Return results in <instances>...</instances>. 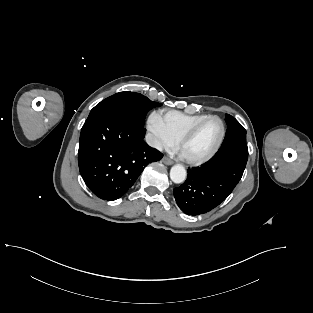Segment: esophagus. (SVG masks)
<instances>
[{"mask_svg":"<svg viewBox=\"0 0 313 313\" xmlns=\"http://www.w3.org/2000/svg\"><path fill=\"white\" fill-rule=\"evenodd\" d=\"M162 162L166 165H172L173 161L169 159L168 157H163Z\"/></svg>","mask_w":313,"mask_h":313,"instance_id":"34e87169","label":"esophagus"}]
</instances>
